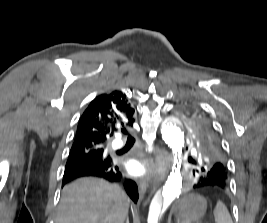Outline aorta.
Segmentation results:
<instances>
[{
  "instance_id": "obj_1",
  "label": "aorta",
  "mask_w": 267,
  "mask_h": 223,
  "mask_svg": "<svg viewBox=\"0 0 267 223\" xmlns=\"http://www.w3.org/2000/svg\"><path fill=\"white\" fill-rule=\"evenodd\" d=\"M161 134L164 142L172 150L174 163L165 185L161 190L156 192L150 203L148 223H158L165 210L179 197L184 187L181 172L184 133L180 120L176 117L167 118L161 128Z\"/></svg>"
}]
</instances>
